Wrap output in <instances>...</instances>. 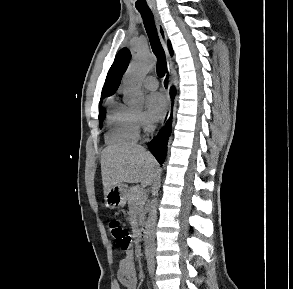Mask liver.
Here are the masks:
<instances>
[{
  "instance_id": "1",
  "label": "liver",
  "mask_w": 293,
  "mask_h": 289,
  "mask_svg": "<svg viewBox=\"0 0 293 289\" xmlns=\"http://www.w3.org/2000/svg\"><path fill=\"white\" fill-rule=\"evenodd\" d=\"M158 172L153 155L135 143L107 146L101 154V175L104 194L120 183H141L149 186Z\"/></svg>"
}]
</instances>
